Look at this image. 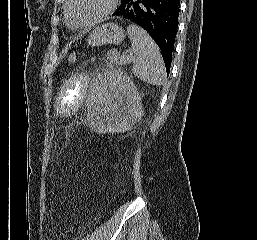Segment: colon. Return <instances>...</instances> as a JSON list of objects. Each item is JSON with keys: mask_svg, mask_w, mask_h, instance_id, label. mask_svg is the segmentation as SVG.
<instances>
[{"mask_svg": "<svg viewBox=\"0 0 257 240\" xmlns=\"http://www.w3.org/2000/svg\"><path fill=\"white\" fill-rule=\"evenodd\" d=\"M78 55L75 51H70L68 53L67 59L70 63H75L77 61ZM50 147L53 146V135L51 133L50 139H49Z\"/></svg>", "mask_w": 257, "mask_h": 240, "instance_id": "1", "label": "colon"}]
</instances>
